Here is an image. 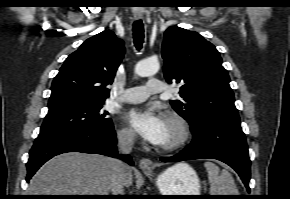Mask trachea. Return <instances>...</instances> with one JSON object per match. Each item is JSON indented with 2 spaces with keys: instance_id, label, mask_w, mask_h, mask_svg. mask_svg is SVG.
Here are the masks:
<instances>
[{
  "instance_id": "trachea-1",
  "label": "trachea",
  "mask_w": 290,
  "mask_h": 199,
  "mask_svg": "<svg viewBox=\"0 0 290 199\" xmlns=\"http://www.w3.org/2000/svg\"><path fill=\"white\" fill-rule=\"evenodd\" d=\"M133 40L136 49H142L144 42V27L141 20H137L133 24Z\"/></svg>"
}]
</instances>
